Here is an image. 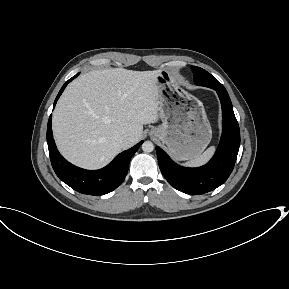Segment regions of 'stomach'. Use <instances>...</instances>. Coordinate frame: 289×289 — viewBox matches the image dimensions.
Here are the masks:
<instances>
[{
    "instance_id": "stomach-1",
    "label": "stomach",
    "mask_w": 289,
    "mask_h": 289,
    "mask_svg": "<svg viewBox=\"0 0 289 289\" xmlns=\"http://www.w3.org/2000/svg\"><path fill=\"white\" fill-rule=\"evenodd\" d=\"M157 85L162 124L152 128L150 136L166 145L176 160L196 158L212 137L202 102L175 83L167 71H160Z\"/></svg>"
}]
</instances>
